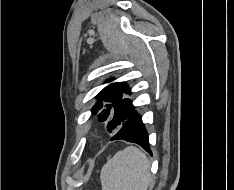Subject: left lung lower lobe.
<instances>
[{"label": "left lung lower lobe", "mask_w": 234, "mask_h": 190, "mask_svg": "<svg viewBox=\"0 0 234 190\" xmlns=\"http://www.w3.org/2000/svg\"><path fill=\"white\" fill-rule=\"evenodd\" d=\"M111 140H125L128 142L137 143L148 153L152 154L147 131L144 127L141 116L135 111V109L117 130Z\"/></svg>", "instance_id": "1"}]
</instances>
